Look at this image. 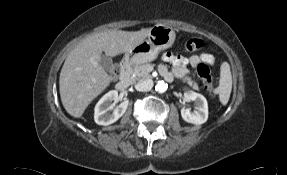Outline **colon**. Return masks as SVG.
I'll list each match as a JSON object with an SVG mask.
<instances>
[{
	"instance_id": "obj_1",
	"label": "colon",
	"mask_w": 287,
	"mask_h": 175,
	"mask_svg": "<svg viewBox=\"0 0 287 175\" xmlns=\"http://www.w3.org/2000/svg\"><path fill=\"white\" fill-rule=\"evenodd\" d=\"M203 42L197 38H190L184 43V49L188 52H195L202 48ZM197 74L201 78L205 89L213 92L214 81L211 75L210 66L206 62H201L196 66Z\"/></svg>"
}]
</instances>
